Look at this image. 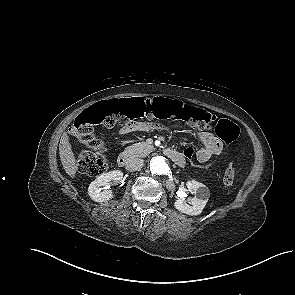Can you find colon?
<instances>
[{
  "instance_id": "obj_1",
  "label": "colon",
  "mask_w": 295,
  "mask_h": 295,
  "mask_svg": "<svg viewBox=\"0 0 295 295\" xmlns=\"http://www.w3.org/2000/svg\"><path fill=\"white\" fill-rule=\"evenodd\" d=\"M141 117L180 120L202 130L210 128L214 121V116L203 109L161 98L125 99L96 104L79 114L72 128L74 135L89 148V150L81 151L77 156L79 170L87 176L96 177L107 169L105 148L94 135L95 125L102 124L106 127L126 125ZM215 132L225 142L221 153L210 163H197L193 159L196 149L191 146L185 147L184 158L198 169H209L225 154L228 149L227 142L236 140L240 134L239 127L228 119H220L215 126ZM234 178L235 170L230 165L224 172L223 184L227 187L231 186Z\"/></svg>"
}]
</instances>
